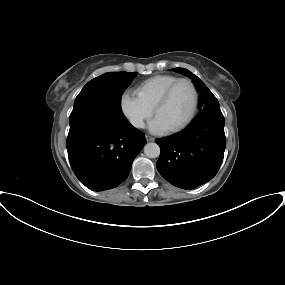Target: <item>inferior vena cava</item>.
<instances>
[{
    "instance_id": "inferior-vena-cava-1",
    "label": "inferior vena cava",
    "mask_w": 285,
    "mask_h": 285,
    "mask_svg": "<svg viewBox=\"0 0 285 285\" xmlns=\"http://www.w3.org/2000/svg\"><path fill=\"white\" fill-rule=\"evenodd\" d=\"M134 126L136 127H140V128H143L144 127V123L142 120H136L133 122Z\"/></svg>"
}]
</instances>
